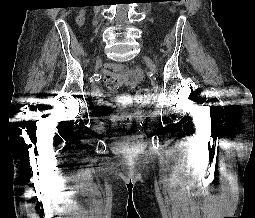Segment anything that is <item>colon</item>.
Returning a JSON list of instances; mask_svg holds the SVG:
<instances>
[{
	"label": "colon",
	"mask_w": 255,
	"mask_h": 218,
	"mask_svg": "<svg viewBox=\"0 0 255 218\" xmlns=\"http://www.w3.org/2000/svg\"><path fill=\"white\" fill-rule=\"evenodd\" d=\"M178 3H181L182 0H174ZM107 81L109 82L110 86L113 88V89H117L120 87V84L116 81V80H112V79H107ZM142 98L146 101H150L152 99V92L148 89H144L142 91ZM122 117L124 119V121H127L130 119L131 117V111L129 109H125L123 110L122 112Z\"/></svg>",
	"instance_id": "colon-1"
}]
</instances>
